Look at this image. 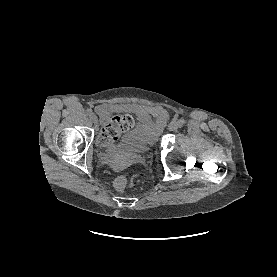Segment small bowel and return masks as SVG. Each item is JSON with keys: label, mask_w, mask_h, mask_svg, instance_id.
<instances>
[{"label": "small bowel", "mask_w": 277, "mask_h": 277, "mask_svg": "<svg viewBox=\"0 0 277 277\" xmlns=\"http://www.w3.org/2000/svg\"><path fill=\"white\" fill-rule=\"evenodd\" d=\"M126 109L138 113L143 119L150 115L153 116L157 126H163L169 117L168 112L164 108L158 106L127 105ZM101 110H107L106 106H103Z\"/></svg>", "instance_id": "obj_1"}]
</instances>
